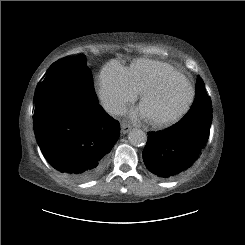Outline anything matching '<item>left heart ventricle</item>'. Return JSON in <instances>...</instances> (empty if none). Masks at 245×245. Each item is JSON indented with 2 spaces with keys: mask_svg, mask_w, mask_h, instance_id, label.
<instances>
[{
  "mask_svg": "<svg viewBox=\"0 0 245 245\" xmlns=\"http://www.w3.org/2000/svg\"><path fill=\"white\" fill-rule=\"evenodd\" d=\"M190 96V88L186 80L174 76L164 88L150 96L142 105L147 118H164L181 110Z\"/></svg>",
  "mask_w": 245,
  "mask_h": 245,
  "instance_id": "left-heart-ventricle-1",
  "label": "left heart ventricle"
}]
</instances>
